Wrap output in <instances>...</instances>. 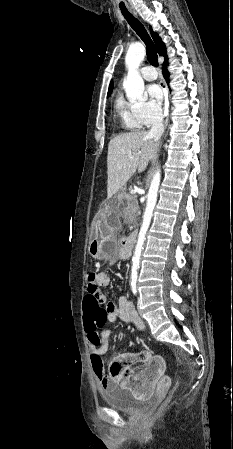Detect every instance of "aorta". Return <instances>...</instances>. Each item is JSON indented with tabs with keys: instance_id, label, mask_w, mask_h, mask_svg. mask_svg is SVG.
I'll return each mask as SVG.
<instances>
[{
	"instance_id": "1",
	"label": "aorta",
	"mask_w": 233,
	"mask_h": 449,
	"mask_svg": "<svg viewBox=\"0 0 233 449\" xmlns=\"http://www.w3.org/2000/svg\"><path fill=\"white\" fill-rule=\"evenodd\" d=\"M145 56V47L141 43L132 44L126 54L125 64L128 69L127 76L123 82V86L127 97L130 100H147V93L145 92L144 81L138 71L140 63ZM161 180L160 169L158 168L151 180L149 192L147 194V203L143 215L142 226L138 235L135 253L132 258V279L137 278V270L140 265V257L145 242L146 232L149 228L153 211L157 202L158 189Z\"/></svg>"
}]
</instances>
